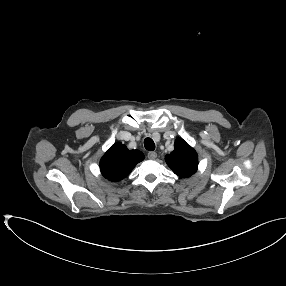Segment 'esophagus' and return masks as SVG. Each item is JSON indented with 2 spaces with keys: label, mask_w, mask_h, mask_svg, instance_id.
<instances>
[{
  "label": "esophagus",
  "mask_w": 286,
  "mask_h": 286,
  "mask_svg": "<svg viewBox=\"0 0 286 286\" xmlns=\"http://www.w3.org/2000/svg\"><path fill=\"white\" fill-rule=\"evenodd\" d=\"M147 156H148L149 159L154 160V159L157 158V153L154 152V151H151V152L148 153Z\"/></svg>",
  "instance_id": "34e87169"
}]
</instances>
